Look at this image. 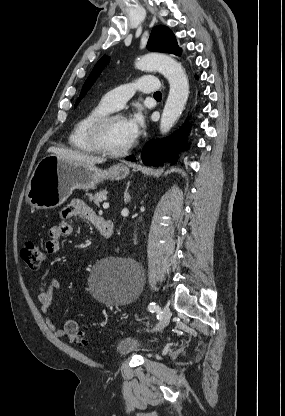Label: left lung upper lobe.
I'll return each instance as SVG.
<instances>
[{
  "label": "left lung upper lobe",
  "instance_id": "5c2ea615",
  "mask_svg": "<svg viewBox=\"0 0 285 416\" xmlns=\"http://www.w3.org/2000/svg\"><path fill=\"white\" fill-rule=\"evenodd\" d=\"M147 48L150 51L155 52H166L178 55L180 53V48L177 44L176 38L172 31L163 25L155 26L152 29L150 38L147 43ZM108 63V58L103 56L97 64L94 66L91 74L85 81L83 88L81 90L80 96L76 101L75 107L79 101L85 96L87 91L91 88L93 83L96 81L97 77L100 75L103 68Z\"/></svg>",
  "mask_w": 285,
  "mask_h": 416
}]
</instances>
